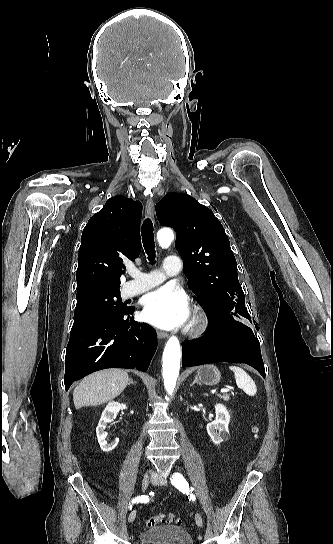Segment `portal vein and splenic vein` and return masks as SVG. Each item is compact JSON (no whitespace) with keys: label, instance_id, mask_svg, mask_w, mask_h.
Listing matches in <instances>:
<instances>
[{"label":"portal vein and splenic vein","instance_id":"portal-vein-and-splenic-vein-1","mask_svg":"<svg viewBox=\"0 0 333 544\" xmlns=\"http://www.w3.org/2000/svg\"><path fill=\"white\" fill-rule=\"evenodd\" d=\"M227 391H228V389H226V388H222V389L220 390V392H222V393H223V392H227Z\"/></svg>","mask_w":333,"mask_h":544}]
</instances>
